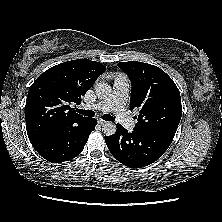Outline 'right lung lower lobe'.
Listing matches in <instances>:
<instances>
[{"label":"right lung lower lobe","mask_w":222,"mask_h":222,"mask_svg":"<svg viewBox=\"0 0 222 222\" xmlns=\"http://www.w3.org/2000/svg\"><path fill=\"white\" fill-rule=\"evenodd\" d=\"M97 121L88 118L84 122L63 129H57L31 142L34 149L46 160L61 163L79 155L95 129Z\"/></svg>","instance_id":"1"}]
</instances>
